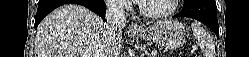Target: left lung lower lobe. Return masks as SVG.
<instances>
[{
    "label": "left lung lower lobe",
    "instance_id": "0a47b994",
    "mask_svg": "<svg viewBox=\"0 0 249 57\" xmlns=\"http://www.w3.org/2000/svg\"><path fill=\"white\" fill-rule=\"evenodd\" d=\"M175 17H189L210 27L217 37L219 25L215 0H185L183 9Z\"/></svg>",
    "mask_w": 249,
    "mask_h": 57
}]
</instances>
